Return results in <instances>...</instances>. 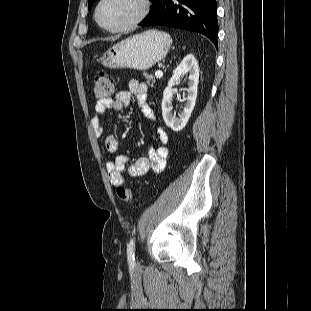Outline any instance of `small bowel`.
<instances>
[{"label": "small bowel", "instance_id": "c3829d8e", "mask_svg": "<svg viewBox=\"0 0 311 311\" xmlns=\"http://www.w3.org/2000/svg\"><path fill=\"white\" fill-rule=\"evenodd\" d=\"M135 97L142 114L150 121H156V115L147 100V86L138 80H131L127 90L117 92L114 98L98 100L95 104L90 126L95 136L99 137L103 132L102 118L106 111L121 112ZM156 136L161 143L158 147H150L145 157H140L131 162V157L126 154L117 155L106 163V171L110 183L119 186L123 183L124 173L132 177H140L149 171L161 172L166 163L168 148L166 147L169 136L162 128H156ZM105 147L109 152H116L119 148V139L116 133H110L105 138Z\"/></svg>", "mask_w": 311, "mask_h": 311}]
</instances>
